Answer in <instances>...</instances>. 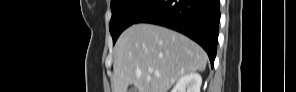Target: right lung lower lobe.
<instances>
[{
    "label": "right lung lower lobe",
    "instance_id": "1",
    "mask_svg": "<svg viewBox=\"0 0 296 92\" xmlns=\"http://www.w3.org/2000/svg\"><path fill=\"white\" fill-rule=\"evenodd\" d=\"M219 21V0H158L135 23L157 24L185 34L204 48L213 66Z\"/></svg>",
    "mask_w": 296,
    "mask_h": 92
}]
</instances>
